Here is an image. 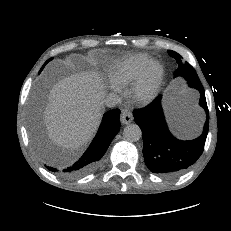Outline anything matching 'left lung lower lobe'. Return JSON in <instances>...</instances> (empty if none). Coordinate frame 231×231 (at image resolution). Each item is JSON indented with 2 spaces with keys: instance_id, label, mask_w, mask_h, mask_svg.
Returning a JSON list of instances; mask_svg holds the SVG:
<instances>
[{
  "instance_id": "obj_1",
  "label": "left lung lower lobe",
  "mask_w": 231,
  "mask_h": 231,
  "mask_svg": "<svg viewBox=\"0 0 231 231\" xmlns=\"http://www.w3.org/2000/svg\"><path fill=\"white\" fill-rule=\"evenodd\" d=\"M200 92V106L206 112V122L202 134L189 141L176 139L168 130L163 110L161 95L142 110H134L135 122L143 135V156L148 169L167 177L184 173L202 155L209 129V112L205 91L200 82L189 83Z\"/></svg>"
}]
</instances>
